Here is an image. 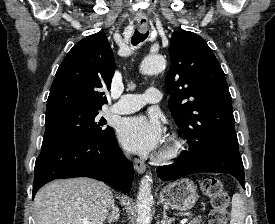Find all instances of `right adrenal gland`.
<instances>
[{
  "mask_svg": "<svg viewBox=\"0 0 275 224\" xmlns=\"http://www.w3.org/2000/svg\"><path fill=\"white\" fill-rule=\"evenodd\" d=\"M112 211L111 213L108 214L107 216V221L109 222V224H112L113 222L118 221L119 217H120V213H119V209L118 207L115 205V202L113 201L112 205H111Z\"/></svg>",
  "mask_w": 275,
  "mask_h": 224,
  "instance_id": "2a0ac1e0",
  "label": "right adrenal gland"
}]
</instances>
